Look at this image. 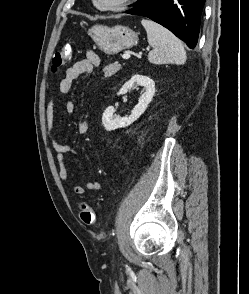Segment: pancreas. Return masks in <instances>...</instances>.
Segmentation results:
<instances>
[{
	"instance_id": "cf45deb5",
	"label": "pancreas",
	"mask_w": 249,
	"mask_h": 294,
	"mask_svg": "<svg viewBox=\"0 0 249 294\" xmlns=\"http://www.w3.org/2000/svg\"><path fill=\"white\" fill-rule=\"evenodd\" d=\"M121 68V65L118 63H111L103 68L105 77H111L117 73Z\"/></svg>"
}]
</instances>
